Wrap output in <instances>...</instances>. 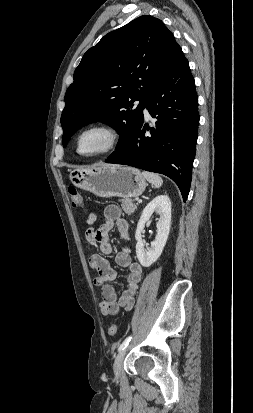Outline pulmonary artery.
<instances>
[{"label": "pulmonary artery", "mask_w": 253, "mask_h": 413, "mask_svg": "<svg viewBox=\"0 0 253 413\" xmlns=\"http://www.w3.org/2000/svg\"><path fill=\"white\" fill-rule=\"evenodd\" d=\"M143 111H144V113H145L146 116H149V112H148V110H147L146 108H144Z\"/></svg>", "instance_id": "pulmonary-artery-1"}]
</instances>
